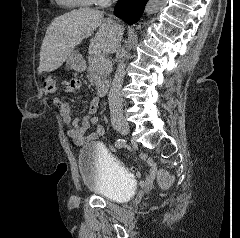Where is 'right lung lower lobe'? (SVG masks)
I'll return each instance as SVG.
<instances>
[{
	"label": "right lung lower lobe",
	"mask_w": 240,
	"mask_h": 238,
	"mask_svg": "<svg viewBox=\"0 0 240 238\" xmlns=\"http://www.w3.org/2000/svg\"><path fill=\"white\" fill-rule=\"evenodd\" d=\"M148 0H119L115 6L114 14L128 24L137 22Z\"/></svg>",
	"instance_id": "98d812e1"
}]
</instances>
